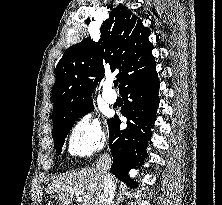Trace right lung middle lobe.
Wrapping results in <instances>:
<instances>
[{
    "instance_id": "dd1d6c3e",
    "label": "right lung middle lobe",
    "mask_w": 222,
    "mask_h": 205,
    "mask_svg": "<svg viewBox=\"0 0 222 205\" xmlns=\"http://www.w3.org/2000/svg\"><path fill=\"white\" fill-rule=\"evenodd\" d=\"M92 110H93V105L84 108L83 110H81L80 112H78L72 116H69L67 118L53 122L52 135H53L55 147H56V150L58 151V153H61V149L64 144L65 137L70 132L75 121L79 117L86 115L87 113H89ZM109 121H110V119L108 120V122Z\"/></svg>"
}]
</instances>
